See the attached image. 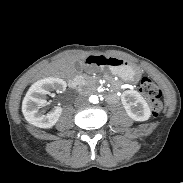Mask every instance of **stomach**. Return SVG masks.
<instances>
[{"mask_svg": "<svg viewBox=\"0 0 183 183\" xmlns=\"http://www.w3.org/2000/svg\"><path fill=\"white\" fill-rule=\"evenodd\" d=\"M100 65L102 68H107L113 75H118L127 81L136 82L141 76L138 66L118 57L102 56Z\"/></svg>", "mask_w": 183, "mask_h": 183, "instance_id": "obj_1", "label": "stomach"}]
</instances>
